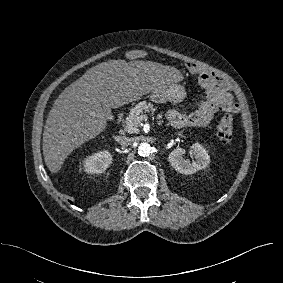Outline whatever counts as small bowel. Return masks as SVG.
Instances as JSON below:
<instances>
[{
    "mask_svg": "<svg viewBox=\"0 0 283 283\" xmlns=\"http://www.w3.org/2000/svg\"><path fill=\"white\" fill-rule=\"evenodd\" d=\"M190 72L198 76L205 97L198 101L188 113L168 110L166 117L175 128L204 126L210 123L218 111L228 109L233 112L238 110V104L227 89L226 82L214 72L199 65L189 63Z\"/></svg>",
    "mask_w": 283,
    "mask_h": 283,
    "instance_id": "1",
    "label": "small bowel"
}]
</instances>
